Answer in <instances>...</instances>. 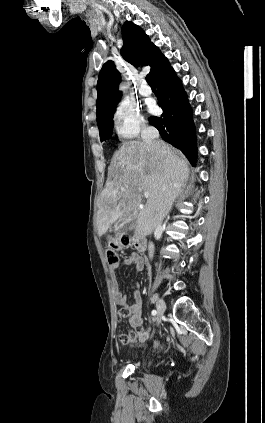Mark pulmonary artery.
Masks as SVG:
<instances>
[{"instance_id": "obj_1", "label": "pulmonary artery", "mask_w": 265, "mask_h": 423, "mask_svg": "<svg viewBox=\"0 0 265 423\" xmlns=\"http://www.w3.org/2000/svg\"><path fill=\"white\" fill-rule=\"evenodd\" d=\"M139 92L141 95L143 96H149L152 93L151 88L147 85V83L145 81H142L140 88H139Z\"/></svg>"}]
</instances>
